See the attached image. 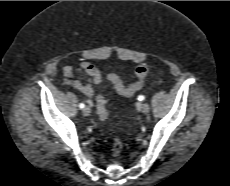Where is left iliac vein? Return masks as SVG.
<instances>
[{"mask_svg": "<svg viewBox=\"0 0 230 186\" xmlns=\"http://www.w3.org/2000/svg\"><path fill=\"white\" fill-rule=\"evenodd\" d=\"M138 108L144 113L147 114L150 110V106L148 103L144 102V103H139L138 104Z\"/></svg>", "mask_w": 230, "mask_h": 186, "instance_id": "left-iliac-vein-1", "label": "left iliac vein"}]
</instances>
